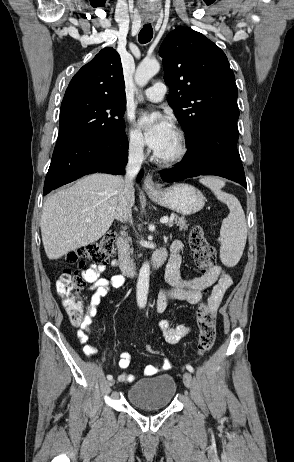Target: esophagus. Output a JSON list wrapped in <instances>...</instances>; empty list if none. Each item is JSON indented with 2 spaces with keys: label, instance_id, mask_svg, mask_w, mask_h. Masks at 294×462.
Here are the masks:
<instances>
[{
  "label": "esophagus",
  "instance_id": "obj_1",
  "mask_svg": "<svg viewBox=\"0 0 294 462\" xmlns=\"http://www.w3.org/2000/svg\"><path fill=\"white\" fill-rule=\"evenodd\" d=\"M143 187L147 192L156 191V186L151 175L146 176V178L144 179Z\"/></svg>",
  "mask_w": 294,
  "mask_h": 462
}]
</instances>
